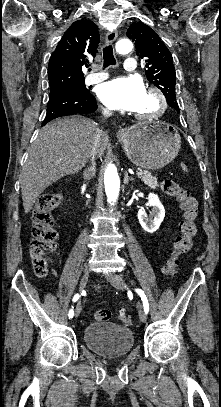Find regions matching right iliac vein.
<instances>
[{"instance_id":"right-iliac-vein-1","label":"right iliac vein","mask_w":221,"mask_h":407,"mask_svg":"<svg viewBox=\"0 0 221 407\" xmlns=\"http://www.w3.org/2000/svg\"><path fill=\"white\" fill-rule=\"evenodd\" d=\"M89 276H90V271H89V270H86V271L84 272V274H83L81 280H80V291H83V290L86 288V285H87V283H88ZM80 311H81V306H80V304L78 303L77 306H76V309H75V315H76V317L80 314Z\"/></svg>"}]
</instances>
